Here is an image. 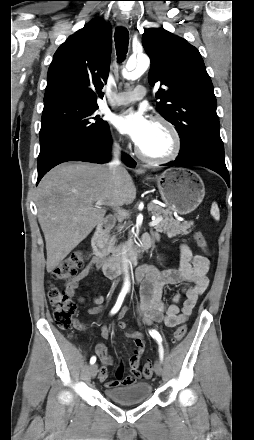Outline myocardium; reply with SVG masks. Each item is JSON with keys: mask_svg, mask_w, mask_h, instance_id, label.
<instances>
[{"mask_svg": "<svg viewBox=\"0 0 254 440\" xmlns=\"http://www.w3.org/2000/svg\"><path fill=\"white\" fill-rule=\"evenodd\" d=\"M153 122L157 123V124L164 125L171 133V135L173 137V148H172L171 152L169 154H167L165 156H161V157L149 156V155L144 154L140 150V148L137 146L135 149L136 154L140 159H142L143 161H146V162L156 163V164L169 163V162L175 160L181 152V149H182L181 135H180L178 129L176 128V126L165 117L156 116L153 119Z\"/></svg>", "mask_w": 254, "mask_h": 440, "instance_id": "1", "label": "myocardium"}]
</instances>
